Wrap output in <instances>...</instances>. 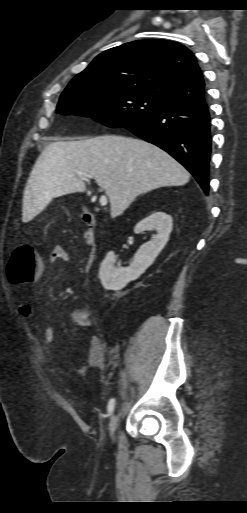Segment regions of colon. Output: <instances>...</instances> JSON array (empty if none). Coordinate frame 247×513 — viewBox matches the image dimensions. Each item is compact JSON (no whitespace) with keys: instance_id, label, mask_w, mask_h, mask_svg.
<instances>
[{"instance_id":"5ec220e1","label":"colon","mask_w":247,"mask_h":513,"mask_svg":"<svg viewBox=\"0 0 247 513\" xmlns=\"http://www.w3.org/2000/svg\"><path fill=\"white\" fill-rule=\"evenodd\" d=\"M35 249L30 243H20L13 250L7 266V279L11 284L31 283L41 271Z\"/></svg>"}]
</instances>
